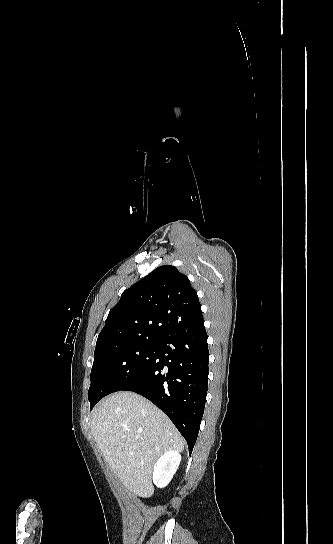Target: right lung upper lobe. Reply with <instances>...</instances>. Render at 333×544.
Here are the masks:
<instances>
[{"instance_id":"1","label":"right lung upper lobe","mask_w":333,"mask_h":544,"mask_svg":"<svg viewBox=\"0 0 333 544\" xmlns=\"http://www.w3.org/2000/svg\"><path fill=\"white\" fill-rule=\"evenodd\" d=\"M202 316L197 292L186 275L164 265L125 290L101 330L95 354L139 340H159Z\"/></svg>"}]
</instances>
